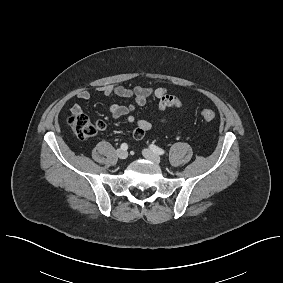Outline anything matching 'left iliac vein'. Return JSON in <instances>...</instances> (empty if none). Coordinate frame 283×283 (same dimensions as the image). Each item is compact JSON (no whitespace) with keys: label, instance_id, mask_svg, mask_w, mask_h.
Listing matches in <instances>:
<instances>
[{"label":"left iliac vein","instance_id":"1","mask_svg":"<svg viewBox=\"0 0 283 283\" xmlns=\"http://www.w3.org/2000/svg\"><path fill=\"white\" fill-rule=\"evenodd\" d=\"M142 153L146 159L153 161L157 164L161 163V158L152 151H150L149 149H144Z\"/></svg>","mask_w":283,"mask_h":283}]
</instances>
